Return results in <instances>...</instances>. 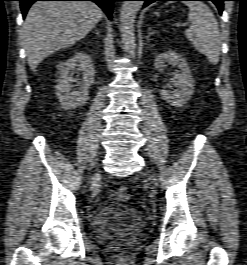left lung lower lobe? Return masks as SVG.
Instances as JSON below:
<instances>
[{"label": "left lung lower lobe", "instance_id": "0a47b994", "mask_svg": "<svg viewBox=\"0 0 247 265\" xmlns=\"http://www.w3.org/2000/svg\"><path fill=\"white\" fill-rule=\"evenodd\" d=\"M140 1H145L144 7H146L155 1H186V0H140ZM201 1H212L217 6L219 13L222 14L223 5H224L223 2L227 0H201Z\"/></svg>", "mask_w": 247, "mask_h": 265}]
</instances>
